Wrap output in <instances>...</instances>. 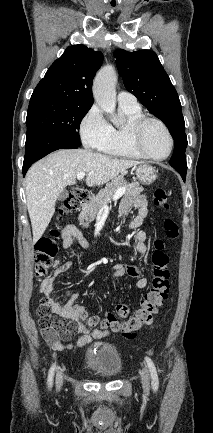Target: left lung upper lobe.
<instances>
[{
	"label": "left lung upper lobe",
	"mask_w": 213,
	"mask_h": 433,
	"mask_svg": "<svg viewBox=\"0 0 213 433\" xmlns=\"http://www.w3.org/2000/svg\"><path fill=\"white\" fill-rule=\"evenodd\" d=\"M114 57L126 89L163 121L173 136L174 151L169 164L176 170L187 171V136L181 103L158 56L150 50L128 52L118 49Z\"/></svg>",
	"instance_id": "obj_1"
}]
</instances>
